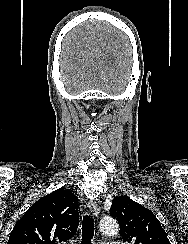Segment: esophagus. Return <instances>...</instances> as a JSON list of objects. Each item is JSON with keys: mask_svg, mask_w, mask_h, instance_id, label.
Masks as SVG:
<instances>
[{"mask_svg": "<svg viewBox=\"0 0 188 244\" xmlns=\"http://www.w3.org/2000/svg\"><path fill=\"white\" fill-rule=\"evenodd\" d=\"M88 208L90 212L97 217L100 213V201L99 200H91L88 202Z\"/></svg>", "mask_w": 188, "mask_h": 244, "instance_id": "1", "label": "esophagus"}]
</instances>
